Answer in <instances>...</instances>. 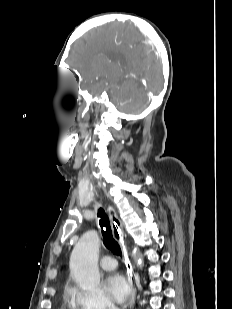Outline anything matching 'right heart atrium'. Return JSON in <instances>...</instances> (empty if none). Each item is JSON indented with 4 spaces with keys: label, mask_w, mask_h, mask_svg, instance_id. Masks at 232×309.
<instances>
[{
    "label": "right heart atrium",
    "mask_w": 232,
    "mask_h": 309,
    "mask_svg": "<svg viewBox=\"0 0 232 309\" xmlns=\"http://www.w3.org/2000/svg\"><path fill=\"white\" fill-rule=\"evenodd\" d=\"M67 295L75 309H117L107 293L100 289L86 291L71 286Z\"/></svg>",
    "instance_id": "1"
}]
</instances>
